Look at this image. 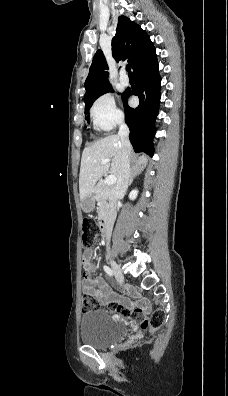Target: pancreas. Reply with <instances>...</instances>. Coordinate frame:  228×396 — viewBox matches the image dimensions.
<instances>
[{"label":"pancreas","instance_id":"pancreas-1","mask_svg":"<svg viewBox=\"0 0 228 396\" xmlns=\"http://www.w3.org/2000/svg\"><path fill=\"white\" fill-rule=\"evenodd\" d=\"M95 198L99 202V212L98 219H107L110 212V200L112 195L111 188L105 183V181L100 180L95 186Z\"/></svg>","mask_w":228,"mask_h":396}]
</instances>
